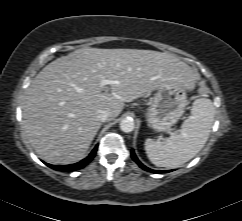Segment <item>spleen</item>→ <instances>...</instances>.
Here are the masks:
<instances>
[{
  "instance_id": "3e777b00",
  "label": "spleen",
  "mask_w": 242,
  "mask_h": 221,
  "mask_svg": "<svg viewBox=\"0 0 242 221\" xmlns=\"http://www.w3.org/2000/svg\"><path fill=\"white\" fill-rule=\"evenodd\" d=\"M215 107L207 98L193 102L191 116L166 141L146 139L145 151L156 166L176 168L195 157L206 144L214 121Z\"/></svg>"
}]
</instances>
